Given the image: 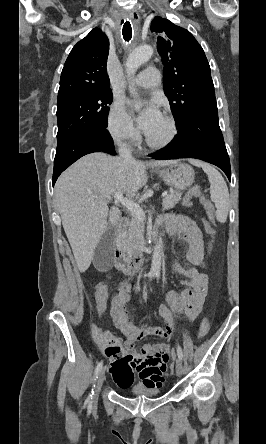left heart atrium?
Segmentation results:
<instances>
[{"mask_svg":"<svg viewBox=\"0 0 266 444\" xmlns=\"http://www.w3.org/2000/svg\"><path fill=\"white\" fill-rule=\"evenodd\" d=\"M161 117L162 114L156 102L152 101L143 107L139 115L138 122L141 129L145 133H148L154 127V125L161 119Z\"/></svg>","mask_w":266,"mask_h":444,"instance_id":"39dd6f15","label":"left heart atrium"}]
</instances>
